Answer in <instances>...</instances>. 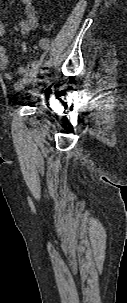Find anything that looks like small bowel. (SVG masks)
Segmentation results:
<instances>
[{
  "label": "small bowel",
  "instance_id": "obj_1",
  "mask_svg": "<svg viewBox=\"0 0 127 303\" xmlns=\"http://www.w3.org/2000/svg\"><path fill=\"white\" fill-rule=\"evenodd\" d=\"M19 2L23 6L25 13V18L20 22V30L22 32H27L35 29L38 25V19L33 11L31 4L32 0H19ZM4 34L5 28L0 20V39L4 36ZM50 45L51 43L48 38L44 37L39 40V47L42 50V53L37 59L31 61L25 66H20L18 68L17 73L19 78L14 82V88L16 90H21L35 81L39 68L42 66L49 53ZM22 50H27L25 45H22ZM0 70L2 71L4 79L8 81L14 79L13 73L8 68V55L6 49L2 45H0Z\"/></svg>",
  "mask_w": 127,
  "mask_h": 303
}]
</instances>
